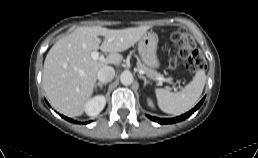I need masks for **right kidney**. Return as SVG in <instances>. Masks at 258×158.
<instances>
[{
	"label": "right kidney",
	"mask_w": 258,
	"mask_h": 158,
	"mask_svg": "<svg viewBox=\"0 0 258 158\" xmlns=\"http://www.w3.org/2000/svg\"><path fill=\"white\" fill-rule=\"evenodd\" d=\"M106 99L103 95L95 96L85 104V112L89 116H97L105 107Z\"/></svg>",
	"instance_id": "obj_1"
}]
</instances>
